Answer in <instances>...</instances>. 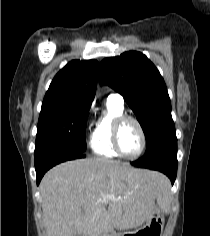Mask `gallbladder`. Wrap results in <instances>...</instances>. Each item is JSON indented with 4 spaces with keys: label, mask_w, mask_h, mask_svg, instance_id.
<instances>
[{
    "label": "gallbladder",
    "mask_w": 210,
    "mask_h": 236,
    "mask_svg": "<svg viewBox=\"0 0 210 236\" xmlns=\"http://www.w3.org/2000/svg\"><path fill=\"white\" fill-rule=\"evenodd\" d=\"M76 236H84V235H82V234H77Z\"/></svg>",
    "instance_id": "gallbladder-1"
}]
</instances>
